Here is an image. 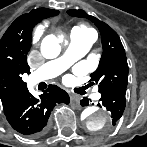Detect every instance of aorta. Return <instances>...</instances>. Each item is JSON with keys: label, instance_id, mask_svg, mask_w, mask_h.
Segmentation results:
<instances>
[{"label": "aorta", "instance_id": "aorta-1", "mask_svg": "<svg viewBox=\"0 0 147 147\" xmlns=\"http://www.w3.org/2000/svg\"><path fill=\"white\" fill-rule=\"evenodd\" d=\"M63 37L46 36L41 43V53L47 59L56 58L61 51L60 41ZM81 119L85 122L87 128L91 131H102L111 125L109 113L104 109L96 107H87L81 113Z\"/></svg>", "mask_w": 147, "mask_h": 147}]
</instances>
